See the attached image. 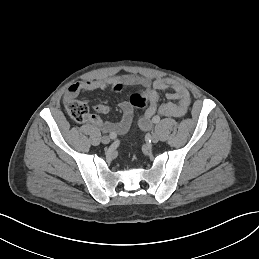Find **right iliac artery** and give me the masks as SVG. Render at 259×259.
<instances>
[{
	"label": "right iliac artery",
	"mask_w": 259,
	"mask_h": 259,
	"mask_svg": "<svg viewBox=\"0 0 259 259\" xmlns=\"http://www.w3.org/2000/svg\"><path fill=\"white\" fill-rule=\"evenodd\" d=\"M109 137H110L111 139H116L117 135H116L115 133H110V134H109Z\"/></svg>",
	"instance_id": "obj_1"
}]
</instances>
